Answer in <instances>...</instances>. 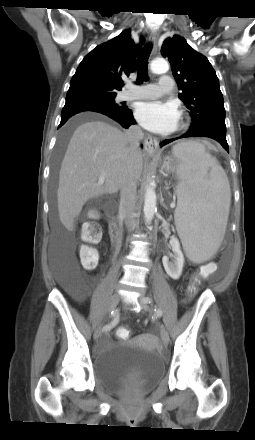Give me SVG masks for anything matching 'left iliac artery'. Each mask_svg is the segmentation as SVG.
I'll list each match as a JSON object with an SVG mask.
<instances>
[{
  "mask_svg": "<svg viewBox=\"0 0 255 440\" xmlns=\"http://www.w3.org/2000/svg\"><path fill=\"white\" fill-rule=\"evenodd\" d=\"M143 301L145 302V303H151V298L150 297H145L144 299H143ZM155 311H156V314H157V316L158 317H161L162 316V311H161V309H155Z\"/></svg>",
  "mask_w": 255,
  "mask_h": 440,
  "instance_id": "obj_1",
  "label": "left iliac artery"
}]
</instances>
